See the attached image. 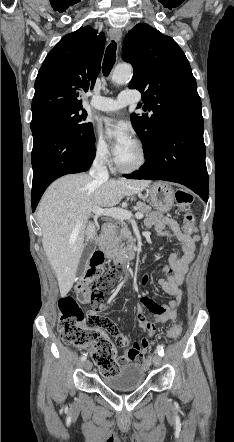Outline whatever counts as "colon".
I'll return each mask as SVG.
<instances>
[{
  "label": "colon",
  "instance_id": "obj_1",
  "mask_svg": "<svg viewBox=\"0 0 234 442\" xmlns=\"http://www.w3.org/2000/svg\"><path fill=\"white\" fill-rule=\"evenodd\" d=\"M175 198L177 205L185 214L186 226L183 230L185 233H189V224L193 221V216L188 212V207L192 203L193 197L188 191L179 189L175 193ZM104 260V255L101 252H95L91 257L89 268L75 286V298L67 297L60 301L58 331L64 343L87 349L101 374L104 377H112L117 374L119 369L114 344L107 335L108 331L89 328L87 318L85 322V315L80 307V304H91L94 310L89 314H99V310L103 306L105 292L121 277L123 264H112L104 271ZM141 305L152 313L161 311V306L149 298L143 299ZM139 308L138 306L137 309ZM181 332L182 325L177 323L169 330L168 337L175 340ZM142 362V368L147 370L149 361L143 359Z\"/></svg>",
  "mask_w": 234,
  "mask_h": 442
}]
</instances>
